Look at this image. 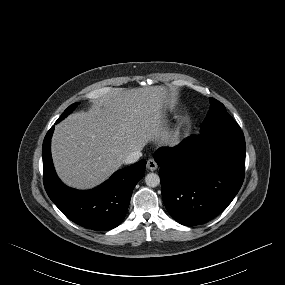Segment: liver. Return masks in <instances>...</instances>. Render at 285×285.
Instances as JSON below:
<instances>
[{"mask_svg": "<svg viewBox=\"0 0 285 285\" xmlns=\"http://www.w3.org/2000/svg\"><path fill=\"white\" fill-rule=\"evenodd\" d=\"M170 103L162 86L122 89L94 99L88 112L68 116L52 138L60 179L77 189L105 181L127 155L163 136L162 113Z\"/></svg>", "mask_w": 285, "mask_h": 285, "instance_id": "1", "label": "liver"}]
</instances>
